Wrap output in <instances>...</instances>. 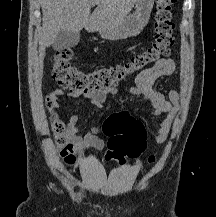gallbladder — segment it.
Instances as JSON below:
<instances>
[{"instance_id": "obj_1", "label": "gallbladder", "mask_w": 216, "mask_h": 217, "mask_svg": "<svg viewBox=\"0 0 216 217\" xmlns=\"http://www.w3.org/2000/svg\"><path fill=\"white\" fill-rule=\"evenodd\" d=\"M80 41L79 32H72L67 30H61L55 38L53 48L56 51L68 49L76 46Z\"/></svg>"}]
</instances>
